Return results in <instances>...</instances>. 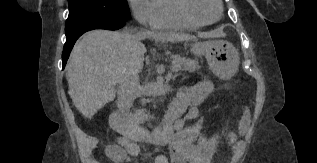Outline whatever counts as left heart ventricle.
<instances>
[{
  "instance_id": "left-heart-ventricle-1",
  "label": "left heart ventricle",
  "mask_w": 317,
  "mask_h": 163,
  "mask_svg": "<svg viewBox=\"0 0 317 163\" xmlns=\"http://www.w3.org/2000/svg\"><path fill=\"white\" fill-rule=\"evenodd\" d=\"M190 11L203 19L213 20L218 17L219 9L215 0H189Z\"/></svg>"
}]
</instances>
